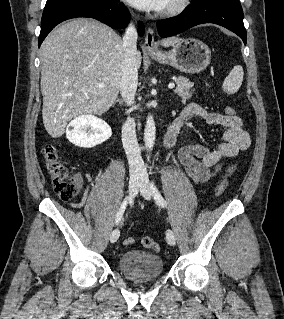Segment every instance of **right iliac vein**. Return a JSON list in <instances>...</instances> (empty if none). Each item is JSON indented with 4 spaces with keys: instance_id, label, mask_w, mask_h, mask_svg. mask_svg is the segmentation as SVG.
Listing matches in <instances>:
<instances>
[{
    "instance_id": "63e3f726",
    "label": "right iliac vein",
    "mask_w": 284,
    "mask_h": 319,
    "mask_svg": "<svg viewBox=\"0 0 284 319\" xmlns=\"http://www.w3.org/2000/svg\"><path fill=\"white\" fill-rule=\"evenodd\" d=\"M139 188V174L137 172H133L130 175V180H129V193L132 197H134ZM120 236V231L118 228L114 229L110 235V241L111 243H115Z\"/></svg>"
}]
</instances>
